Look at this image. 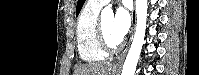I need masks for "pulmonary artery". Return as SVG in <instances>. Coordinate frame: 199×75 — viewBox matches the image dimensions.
Instances as JSON below:
<instances>
[{
	"mask_svg": "<svg viewBox=\"0 0 199 75\" xmlns=\"http://www.w3.org/2000/svg\"><path fill=\"white\" fill-rule=\"evenodd\" d=\"M109 1L107 0H93V1H89V4L91 6H96V7H103L104 5H106Z\"/></svg>",
	"mask_w": 199,
	"mask_h": 75,
	"instance_id": "obj_1",
	"label": "pulmonary artery"
}]
</instances>
